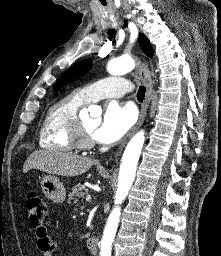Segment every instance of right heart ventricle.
<instances>
[{"label": "right heart ventricle", "instance_id": "right-heart-ventricle-1", "mask_svg": "<svg viewBox=\"0 0 221 256\" xmlns=\"http://www.w3.org/2000/svg\"><path fill=\"white\" fill-rule=\"evenodd\" d=\"M88 103L80 91H74L57 102L47 111L39 133L42 148L72 152L76 148L74 130L78 122L79 109Z\"/></svg>", "mask_w": 221, "mask_h": 256}]
</instances>
